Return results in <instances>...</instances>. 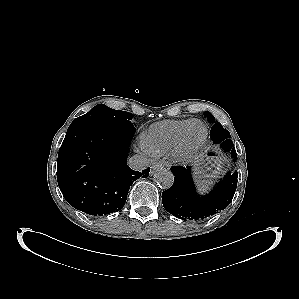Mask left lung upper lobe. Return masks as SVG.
<instances>
[{"mask_svg": "<svg viewBox=\"0 0 299 299\" xmlns=\"http://www.w3.org/2000/svg\"><path fill=\"white\" fill-rule=\"evenodd\" d=\"M205 116L207 117L208 121L211 123H215V118L210 112H205ZM210 138L214 143H221L223 141L230 140L229 132L222 127L220 123H215L210 131Z\"/></svg>", "mask_w": 299, "mask_h": 299, "instance_id": "left-lung-upper-lobe-1", "label": "left lung upper lobe"}]
</instances>
